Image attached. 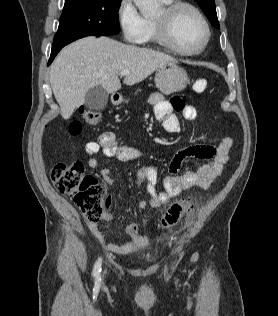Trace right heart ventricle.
<instances>
[{
	"instance_id": "right-heart-ventricle-1",
	"label": "right heart ventricle",
	"mask_w": 278,
	"mask_h": 316,
	"mask_svg": "<svg viewBox=\"0 0 278 316\" xmlns=\"http://www.w3.org/2000/svg\"><path fill=\"white\" fill-rule=\"evenodd\" d=\"M165 4H170L173 2V0H161ZM141 44H148V45H157L164 47L166 49L172 50L166 43H164L158 36L154 19L147 18L145 19V32L144 35L139 42Z\"/></svg>"
}]
</instances>
